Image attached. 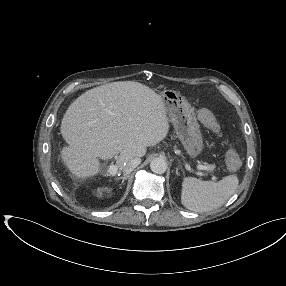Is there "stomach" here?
Returning <instances> with one entry per match:
<instances>
[{
	"mask_svg": "<svg viewBox=\"0 0 286 286\" xmlns=\"http://www.w3.org/2000/svg\"><path fill=\"white\" fill-rule=\"evenodd\" d=\"M161 97L166 113L187 154L195 158L203 150V138L194 109L178 91L164 90Z\"/></svg>",
	"mask_w": 286,
	"mask_h": 286,
	"instance_id": "1",
	"label": "stomach"
}]
</instances>
